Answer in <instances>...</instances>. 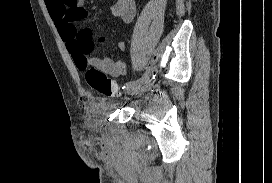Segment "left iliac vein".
I'll return each mask as SVG.
<instances>
[{"label":"left iliac vein","instance_id":"obj_1","mask_svg":"<svg viewBox=\"0 0 272 183\" xmlns=\"http://www.w3.org/2000/svg\"><path fill=\"white\" fill-rule=\"evenodd\" d=\"M152 87V82L151 81H146V85L142 88H133L130 91H127L128 94L130 95H137L140 93H143L145 91H147L148 89H150Z\"/></svg>","mask_w":272,"mask_h":183}]
</instances>
